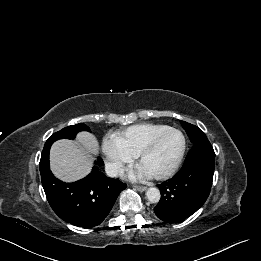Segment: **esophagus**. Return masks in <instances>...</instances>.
<instances>
[{
  "mask_svg": "<svg viewBox=\"0 0 261 261\" xmlns=\"http://www.w3.org/2000/svg\"><path fill=\"white\" fill-rule=\"evenodd\" d=\"M135 189L139 192L145 191L147 188L145 186H136Z\"/></svg>",
  "mask_w": 261,
  "mask_h": 261,
  "instance_id": "34e87169",
  "label": "esophagus"
}]
</instances>
